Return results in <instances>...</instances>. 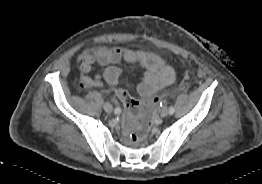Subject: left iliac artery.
Returning a JSON list of instances; mask_svg holds the SVG:
<instances>
[{
    "instance_id": "44dca946",
    "label": "left iliac artery",
    "mask_w": 262,
    "mask_h": 184,
    "mask_svg": "<svg viewBox=\"0 0 262 184\" xmlns=\"http://www.w3.org/2000/svg\"><path fill=\"white\" fill-rule=\"evenodd\" d=\"M175 112V108L173 106L169 107V114H173Z\"/></svg>"
}]
</instances>
